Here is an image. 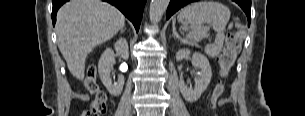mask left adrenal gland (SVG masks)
Wrapping results in <instances>:
<instances>
[{
	"mask_svg": "<svg viewBox=\"0 0 305 116\" xmlns=\"http://www.w3.org/2000/svg\"><path fill=\"white\" fill-rule=\"evenodd\" d=\"M173 37H174L175 39L178 38V36H177L175 33H174V36H173Z\"/></svg>",
	"mask_w": 305,
	"mask_h": 116,
	"instance_id": "a2214340",
	"label": "left adrenal gland"
}]
</instances>
